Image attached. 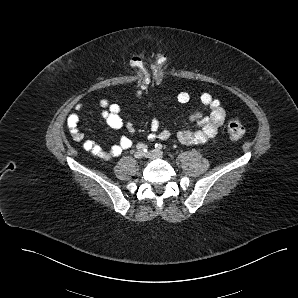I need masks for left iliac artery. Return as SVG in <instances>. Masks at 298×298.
I'll use <instances>...</instances> for the list:
<instances>
[{
  "instance_id": "44dca946",
  "label": "left iliac artery",
  "mask_w": 298,
  "mask_h": 298,
  "mask_svg": "<svg viewBox=\"0 0 298 298\" xmlns=\"http://www.w3.org/2000/svg\"><path fill=\"white\" fill-rule=\"evenodd\" d=\"M155 148H156L157 150L162 149V144H160V143L155 144Z\"/></svg>"
}]
</instances>
